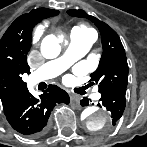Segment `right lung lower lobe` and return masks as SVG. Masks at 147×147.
<instances>
[{"label":"right lung lower lobe","instance_id":"obj_1","mask_svg":"<svg viewBox=\"0 0 147 147\" xmlns=\"http://www.w3.org/2000/svg\"><path fill=\"white\" fill-rule=\"evenodd\" d=\"M68 94L56 85H50L39 98L29 94L17 105L4 111L7 121L17 132L37 137L47 130L48 118L57 103L69 104Z\"/></svg>","mask_w":147,"mask_h":147}]
</instances>
